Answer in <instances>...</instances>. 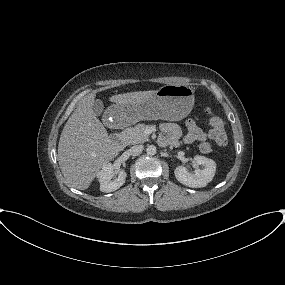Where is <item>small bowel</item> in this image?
<instances>
[{"label": "small bowel", "instance_id": "1", "mask_svg": "<svg viewBox=\"0 0 285 285\" xmlns=\"http://www.w3.org/2000/svg\"><path fill=\"white\" fill-rule=\"evenodd\" d=\"M162 136L161 142L163 144H169L172 146H178L181 137V128L179 125L173 122H166L161 126ZM207 139V133L200 128L197 123L189 119L186 122V134L184 136V142L191 144L196 141H205Z\"/></svg>", "mask_w": 285, "mask_h": 285}]
</instances>
